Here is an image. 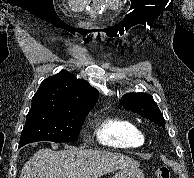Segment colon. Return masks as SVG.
Instances as JSON below:
<instances>
[{"mask_svg":"<svg viewBox=\"0 0 194 178\" xmlns=\"http://www.w3.org/2000/svg\"><path fill=\"white\" fill-rule=\"evenodd\" d=\"M155 175L157 178H170V169L167 166H161L156 170Z\"/></svg>","mask_w":194,"mask_h":178,"instance_id":"colon-1","label":"colon"}]
</instances>
